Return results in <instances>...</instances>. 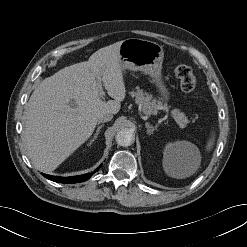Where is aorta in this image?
Instances as JSON below:
<instances>
[{
  "mask_svg": "<svg viewBox=\"0 0 247 247\" xmlns=\"http://www.w3.org/2000/svg\"><path fill=\"white\" fill-rule=\"evenodd\" d=\"M118 145L127 147L134 142V134L130 129H121L115 136Z\"/></svg>",
  "mask_w": 247,
  "mask_h": 247,
  "instance_id": "762f6f07",
  "label": "aorta"
}]
</instances>
